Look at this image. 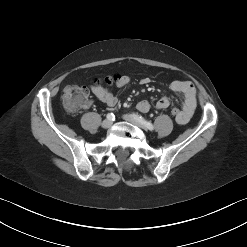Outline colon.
<instances>
[{
    "label": "colon",
    "instance_id": "5ec220e1",
    "mask_svg": "<svg viewBox=\"0 0 247 247\" xmlns=\"http://www.w3.org/2000/svg\"><path fill=\"white\" fill-rule=\"evenodd\" d=\"M120 76L107 77L104 82L108 85L117 83L120 80ZM88 101V94L84 87L71 85L64 89L62 95V105L64 109L69 113H76L81 108H83ZM172 117L177 119L180 115V109L172 108L170 110Z\"/></svg>",
    "mask_w": 247,
    "mask_h": 247
}]
</instances>
